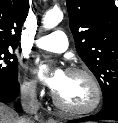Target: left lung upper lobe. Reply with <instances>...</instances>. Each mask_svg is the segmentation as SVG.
<instances>
[{"label":"left lung upper lobe","mask_w":118,"mask_h":123,"mask_svg":"<svg viewBox=\"0 0 118 123\" xmlns=\"http://www.w3.org/2000/svg\"><path fill=\"white\" fill-rule=\"evenodd\" d=\"M78 54L97 78L103 106L118 100V8L114 0H66Z\"/></svg>","instance_id":"5c2ea615"}]
</instances>
